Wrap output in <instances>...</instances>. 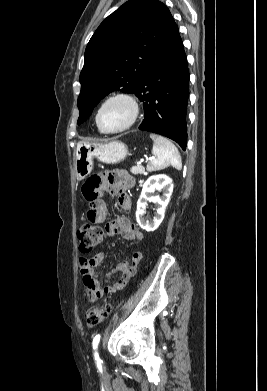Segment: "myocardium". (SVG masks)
Returning a JSON list of instances; mask_svg holds the SVG:
<instances>
[{"mask_svg":"<svg viewBox=\"0 0 267 391\" xmlns=\"http://www.w3.org/2000/svg\"><path fill=\"white\" fill-rule=\"evenodd\" d=\"M114 100H123L125 101L129 106H130V109H131V115H130V118L129 120L127 121V123L118 128V129H115V130H106L102 127L101 123H100V114H101V111L102 109L104 108L105 105H107L109 102H112ZM139 112H140V107H139V103L137 101V99L135 98V96H133L131 93H128V92H116V93H113L109 96H107L102 102L101 104L99 105L98 109H97V112H96V115H95V122H96V125L98 127V129L104 133V134H116V133H120V132H123L127 129H129L131 126H133V124L136 122L138 116H139Z\"/></svg>","mask_w":267,"mask_h":391,"instance_id":"myocardium-1","label":"myocardium"}]
</instances>
